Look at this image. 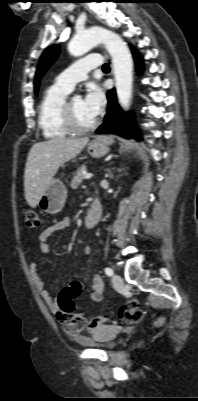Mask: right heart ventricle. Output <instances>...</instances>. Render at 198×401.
Masks as SVG:
<instances>
[{
  "instance_id": "1",
  "label": "right heart ventricle",
  "mask_w": 198,
  "mask_h": 401,
  "mask_svg": "<svg viewBox=\"0 0 198 401\" xmlns=\"http://www.w3.org/2000/svg\"><path fill=\"white\" fill-rule=\"evenodd\" d=\"M70 91L53 84L43 94L38 107V123L46 139H60L69 135L62 122V107Z\"/></svg>"
}]
</instances>
